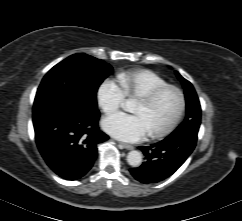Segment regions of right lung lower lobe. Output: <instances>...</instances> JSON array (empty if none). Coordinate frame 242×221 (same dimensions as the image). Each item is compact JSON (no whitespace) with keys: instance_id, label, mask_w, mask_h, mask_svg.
Returning a JSON list of instances; mask_svg holds the SVG:
<instances>
[{"instance_id":"1","label":"right lung lower lobe","mask_w":242,"mask_h":221,"mask_svg":"<svg viewBox=\"0 0 242 221\" xmlns=\"http://www.w3.org/2000/svg\"><path fill=\"white\" fill-rule=\"evenodd\" d=\"M99 117V111L81 115L59 108L33 113L38 149L57 175L76 180L91 169L97 146L109 138L99 130Z\"/></svg>"}]
</instances>
